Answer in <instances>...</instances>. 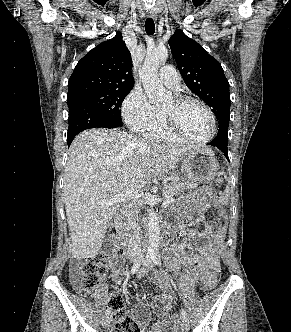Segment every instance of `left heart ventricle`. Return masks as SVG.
<instances>
[{
  "instance_id": "left-heart-ventricle-1",
  "label": "left heart ventricle",
  "mask_w": 291,
  "mask_h": 332,
  "mask_svg": "<svg viewBox=\"0 0 291 332\" xmlns=\"http://www.w3.org/2000/svg\"><path fill=\"white\" fill-rule=\"evenodd\" d=\"M162 110L173 114L182 132L192 138L203 139L211 131L210 118L198 104L188 103L178 108L175 106L174 100H171L163 106Z\"/></svg>"
}]
</instances>
